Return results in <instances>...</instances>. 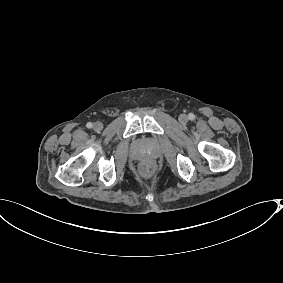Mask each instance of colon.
<instances>
[{"label":"colon","mask_w":283,"mask_h":283,"mask_svg":"<svg viewBox=\"0 0 283 283\" xmlns=\"http://www.w3.org/2000/svg\"><path fill=\"white\" fill-rule=\"evenodd\" d=\"M152 171V166L149 164V163H144L142 166H141V172L144 174V175H149Z\"/></svg>","instance_id":"5ec220e1"}]
</instances>
